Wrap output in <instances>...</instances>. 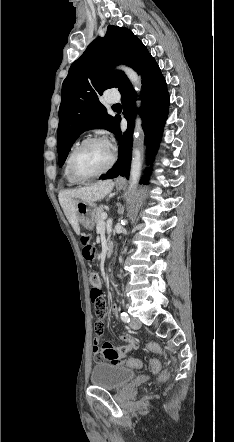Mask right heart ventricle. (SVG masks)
<instances>
[{"instance_id": "right-heart-ventricle-1", "label": "right heart ventricle", "mask_w": 234, "mask_h": 442, "mask_svg": "<svg viewBox=\"0 0 234 442\" xmlns=\"http://www.w3.org/2000/svg\"><path fill=\"white\" fill-rule=\"evenodd\" d=\"M64 176H65L67 182H68L70 185H77V184H79V182L75 181V180L70 176V174H69V172H68V168H67V161H66V163H65V167H64Z\"/></svg>"}]
</instances>
